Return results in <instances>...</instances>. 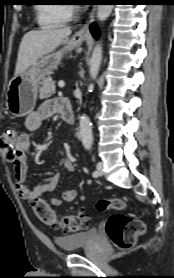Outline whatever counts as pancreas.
<instances>
[{
	"label": "pancreas",
	"instance_id": "1",
	"mask_svg": "<svg viewBox=\"0 0 174 278\" xmlns=\"http://www.w3.org/2000/svg\"><path fill=\"white\" fill-rule=\"evenodd\" d=\"M40 99H46L55 93V82L46 78L41 82V87L39 89Z\"/></svg>",
	"mask_w": 174,
	"mask_h": 278
}]
</instances>
